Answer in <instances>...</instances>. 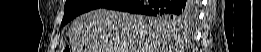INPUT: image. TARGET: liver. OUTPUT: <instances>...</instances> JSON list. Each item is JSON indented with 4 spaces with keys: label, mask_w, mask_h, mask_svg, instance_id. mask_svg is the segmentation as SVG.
<instances>
[{
    "label": "liver",
    "mask_w": 261,
    "mask_h": 52,
    "mask_svg": "<svg viewBox=\"0 0 261 52\" xmlns=\"http://www.w3.org/2000/svg\"><path fill=\"white\" fill-rule=\"evenodd\" d=\"M69 39L74 52H179L180 46L172 23L107 9L77 17Z\"/></svg>",
    "instance_id": "obj_1"
}]
</instances>
